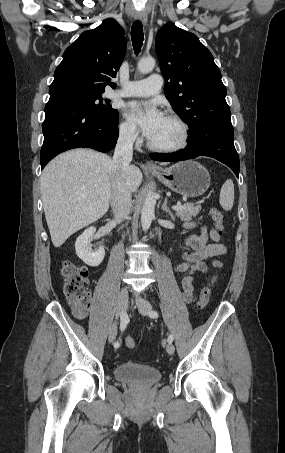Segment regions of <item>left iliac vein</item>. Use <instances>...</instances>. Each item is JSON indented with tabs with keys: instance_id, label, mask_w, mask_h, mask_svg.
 <instances>
[{
	"instance_id": "obj_1",
	"label": "left iliac vein",
	"mask_w": 285,
	"mask_h": 453,
	"mask_svg": "<svg viewBox=\"0 0 285 453\" xmlns=\"http://www.w3.org/2000/svg\"><path fill=\"white\" fill-rule=\"evenodd\" d=\"M137 305L139 312L144 316H147L152 308L151 304L144 299H139ZM166 350L168 354L172 355L175 351V347L172 343H168Z\"/></svg>"
}]
</instances>
